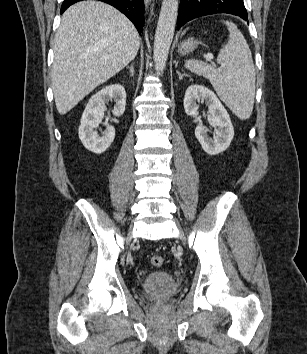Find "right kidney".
I'll use <instances>...</instances> for the list:
<instances>
[{
	"mask_svg": "<svg viewBox=\"0 0 307 354\" xmlns=\"http://www.w3.org/2000/svg\"><path fill=\"white\" fill-rule=\"evenodd\" d=\"M112 100L115 102L112 111L113 115L121 116L125 111L126 92L120 84L106 86L93 95L82 114L79 138L84 147L95 154H101L106 151L115 138L113 126H107L101 135L95 131L106 110L105 104Z\"/></svg>",
	"mask_w": 307,
	"mask_h": 354,
	"instance_id": "obj_1",
	"label": "right kidney"
}]
</instances>
